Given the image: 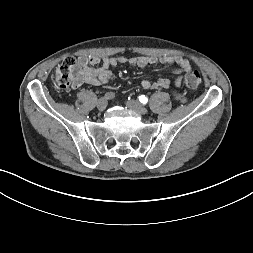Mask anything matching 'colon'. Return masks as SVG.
<instances>
[{
	"label": "colon",
	"instance_id": "colon-1",
	"mask_svg": "<svg viewBox=\"0 0 253 253\" xmlns=\"http://www.w3.org/2000/svg\"><path fill=\"white\" fill-rule=\"evenodd\" d=\"M82 66L74 57L65 58L55 69L51 81L56 89L68 90L74 85L77 75L81 72ZM202 81L199 71H191L183 77V84L189 88H197Z\"/></svg>",
	"mask_w": 253,
	"mask_h": 253
}]
</instances>
